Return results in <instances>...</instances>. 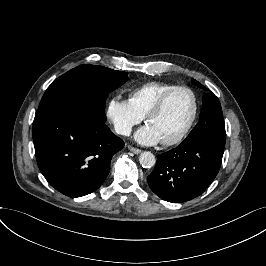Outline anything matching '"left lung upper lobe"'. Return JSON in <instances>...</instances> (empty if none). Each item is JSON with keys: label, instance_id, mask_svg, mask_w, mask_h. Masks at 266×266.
Instances as JSON below:
<instances>
[{"label": "left lung upper lobe", "instance_id": "left-lung-upper-lobe-1", "mask_svg": "<svg viewBox=\"0 0 266 266\" xmlns=\"http://www.w3.org/2000/svg\"><path fill=\"white\" fill-rule=\"evenodd\" d=\"M192 82L198 87L205 89L198 81L193 79ZM204 135L226 137L222 108L218 98L213 94L203 95V107L199 122L183 142H188Z\"/></svg>", "mask_w": 266, "mask_h": 266}]
</instances>
